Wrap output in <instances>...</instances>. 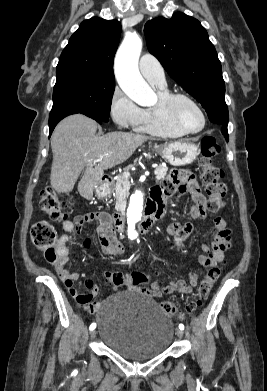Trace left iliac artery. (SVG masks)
<instances>
[{"label": "left iliac artery", "instance_id": "obj_1", "mask_svg": "<svg viewBox=\"0 0 267 391\" xmlns=\"http://www.w3.org/2000/svg\"><path fill=\"white\" fill-rule=\"evenodd\" d=\"M179 329L183 330L184 329V325L183 324H179Z\"/></svg>", "mask_w": 267, "mask_h": 391}]
</instances>
